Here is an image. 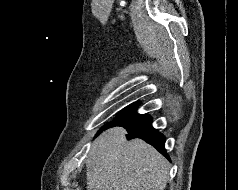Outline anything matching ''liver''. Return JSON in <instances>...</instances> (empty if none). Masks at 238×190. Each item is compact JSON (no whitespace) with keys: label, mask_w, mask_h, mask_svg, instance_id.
Listing matches in <instances>:
<instances>
[{"label":"liver","mask_w":238,"mask_h":190,"mask_svg":"<svg viewBox=\"0 0 238 190\" xmlns=\"http://www.w3.org/2000/svg\"><path fill=\"white\" fill-rule=\"evenodd\" d=\"M114 127L92 144L86 160L87 190H164L169 163L141 139L126 140Z\"/></svg>","instance_id":"liver-1"}]
</instances>
